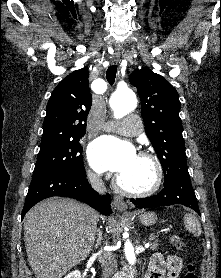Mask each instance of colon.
<instances>
[{"instance_id": "obj_1", "label": "colon", "mask_w": 221, "mask_h": 278, "mask_svg": "<svg viewBox=\"0 0 221 278\" xmlns=\"http://www.w3.org/2000/svg\"><path fill=\"white\" fill-rule=\"evenodd\" d=\"M171 243L180 251H183L186 247L184 241L178 235H173L171 237ZM183 278H198L196 274V267L193 263L188 264Z\"/></svg>"}]
</instances>
